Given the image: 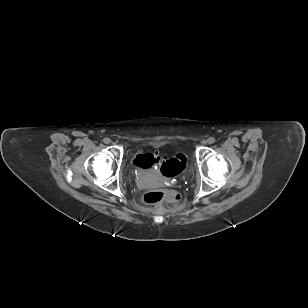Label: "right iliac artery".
Here are the masks:
<instances>
[{
    "instance_id": "82829eb1",
    "label": "right iliac artery",
    "mask_w": 308,
    "mask_h": 308,
    "mask_svg": "<svg viewBox=\"0 0 308 308\" xmlns=\"http://www.w3.org/2000/svg\"><path fill=\"white\" fill-rule=\"evenodd\" d=\"M104 142H105V143H110V139L105 138V139H104Z\"/></svg>"
}]
</instances>
